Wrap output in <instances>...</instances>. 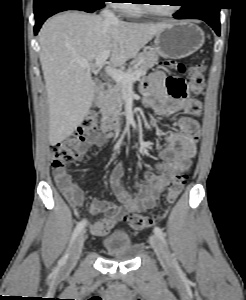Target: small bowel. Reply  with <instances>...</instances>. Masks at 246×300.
Returning a JSON list of instances; mask_svg holds the SVG:
<instances>
[{"mask_svg": "<svg viewBox=\"0 0 246 300\" xmlns=\"http://www.w3.org/2000/svg\"><path fill=\"white\" fill-rule=\"evenodd\" d=\"M141 92L143 105L159 114L189 115L179 116L176 121L178 131L167 136L166 144L159 152L162 162L156 164L157 173L150 169L145 170L142 179L134 182L132 194L121 183L124 163L121 162L112 169L109 183L120 205L104 199H94L90 203L92 213L103 215L89 226L94 235L109 233L128 211L153 209L172 176L180 170H187L197 151L200 127L197 120L190 116V108L199 102L186 94L185 82L179 78L167 77L162 72H154L142 82ZM112 137L113 134L107 131L95 133L91 135L87 146L100 147ZM83 155L84 153L80 157ZM53 175L62 194L78 213L85 201L83 191L66 170H54Z\"/></svg>", "mask_w": 246, "mask_h": 300, "instance_id": "c3829d8e", "label": "small bowel"}]
</instances>
